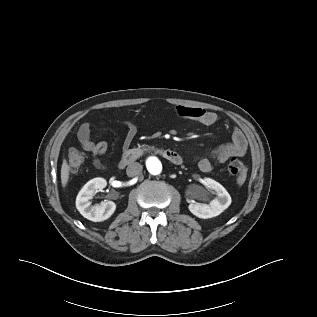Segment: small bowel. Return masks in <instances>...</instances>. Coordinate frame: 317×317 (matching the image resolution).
I'll return each instance as SVG.
<instances>
[{"label": "small bowel", "instance_id": "small-bowel-1", "mask_svg": "<svg viewBox=\"0 0 317 317\" xmlns=\"http://www.w3.org/2000/svg\"><path fill=\"white\" fill-rule=\"evenodd\" d=\"M176 113L182 118H189L199 123L209 126L217 121V114L200 107L179 105L176 107ZM127 133L124 139V146L131 144L137 134V128L132 122H124ZM77 137L81 147L92 155L94 165L103 169L102 157L108 150V144L105 141L95 142L91 138V129L89 124H83ZM248 149L247 138L245 134L237 127H234L231 133V142L215 148L208 157L198 161L200 171L208 173L213 169V163H224L230 158L244 156Z\"/></svg>", "mask_w": 317, "mask_h": 317}]
</instances>
